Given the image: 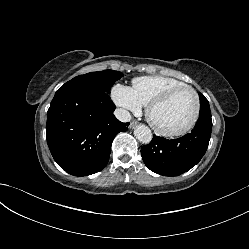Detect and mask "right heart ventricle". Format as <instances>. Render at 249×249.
I'll use <instances>...</instances> for the list:
<instances>
[{
    "label": "right heart ventricle",
    "mask_w": 249,
    "mask_h": 249,
    "mask_svg": "<svg viewBox=\"0 0 249 249\" xmlns=\"http://www.w3.org/2000/svg\"><path fill=\"white\" fill-rule=\"evenodd\" d=\"M186 85L183 81L172 77L153 75L133 79L132 90L142 106H148L154 99L169 89Z\"/></svg>",
    "instance_id": "e07e8e85"
}]
</instances>
